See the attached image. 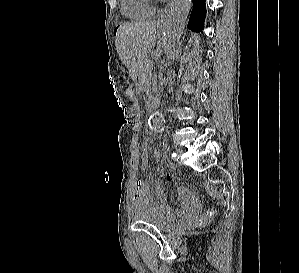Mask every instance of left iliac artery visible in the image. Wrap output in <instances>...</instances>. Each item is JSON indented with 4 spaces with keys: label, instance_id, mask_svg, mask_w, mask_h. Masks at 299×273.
I'll return each mask as SVG.
<instances>
[{
    "label": "left iliac artery",
    "instance_id": "obj_1",
    "mask_svg": "<svg viewBox=\"0 0 299 273\" xmlns=\"http://www.w3.org/2000/svg\"><path fill=\"white\" fill-rule=\"evenodd\" d=\"M171 156L173 160H178V156L175 152H173Z\"/></svg>",
    "mask_w": 299,
    "mask_h": 273
}]
</instances>
